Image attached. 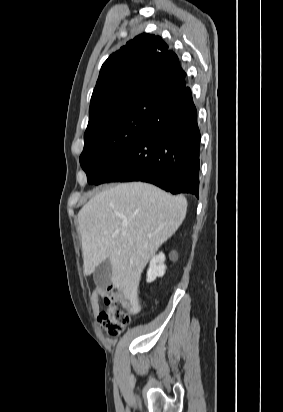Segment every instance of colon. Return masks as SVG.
<instances>
[{
  "instance_id": "colon-1",
  "label": "colon",
  "mask_w": 283,
  "mask_h": 412,
  "mask_svg": "<svg viewBox=\"0 0 283 412\" xmlns=\"http://www.w3.org/2000/svg\"><path fill=\"white\" fill-rule=\"evenodd\" d=\"M104 300L107 308L99 316V327L109 337L117 338L130 321L126 298L119 289L111 288Z\"/></svg>"
}]
</instances>
